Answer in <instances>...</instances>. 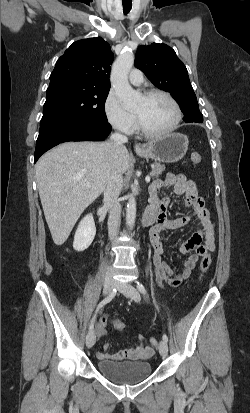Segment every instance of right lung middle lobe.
I'll list each match as a JSON object with an SVG mask.
<instances>
[{
  "instance_id": "obj_1",
  "label": "right lung middle lobe",
  "mask_w": 250,
  "mask_h": 413,
  "mask_svg": "<svg viewBox=\"0 0 250 413\" xmlns=\"http://www.w3.org/2000/svg\"><path fill=\"white\" fill-rule=\"evenodd\" d=\"M108 92L77 85L47 90L39 132L65 121L107 122L104 104Z\"/></svg>"
}]
</instances>
